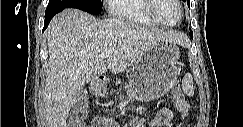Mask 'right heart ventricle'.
<instances>
[{
    "label": "right heart ventricle",
    "mask_w": 243,
    "mask_h": 127,
    "mask_svg": "<svg viewBox=\"0 0 243 127\" xmlns=\"http://www.w3.org/2000/svg\"><path fill=\"white\" fill-rule=\"evenodd\" d=\"M110 13L113 17L146 28H157L147 13L146 0H111Z\"/></svg>",
    "instance_id": "e07e8e85"
}]
</instances>
